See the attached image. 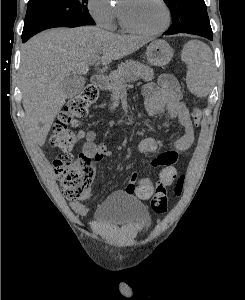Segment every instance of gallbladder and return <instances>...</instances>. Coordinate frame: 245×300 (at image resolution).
<instances>
[{
    "label": "gallbladder",
    "instance_id": "bac80fb5",
    "mask_svg": "<svg viewBox=\"0 0 245 300\" xmlns=\"http://www.w3.org/2000/svg\"><path fill=\"white\" fill-rule=\"evenodd\" d=\"M64 91L68 98L80 93L85 85V78L78 74H70L62 82Z\"/></svg>",
    "mask_w": 245,
    "mask_h": 300
}]
</instances>
